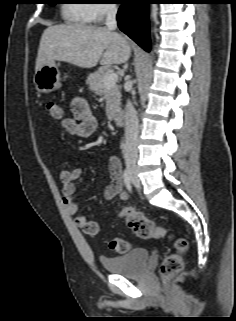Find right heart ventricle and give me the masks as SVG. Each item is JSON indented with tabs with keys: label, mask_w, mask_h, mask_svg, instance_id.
<instances>
[{
	"label": "right heart ventricle",
	"mask_w": 236,
	"mask_h": 321,
	"mask_svg": "<svg viewBox=\"0 0 236 321\" xmlns=\"http://www.w3.org/2000/svg\"><path fill=\"white\" fill-rule=\"evenodd\" d=\"M83 1L86 0H73L63 6V17L66 22L84 25L90 21L88 18L89 5L83 3Z\"/></svg>",
	"instance_id": "1"
}]
</instances>
